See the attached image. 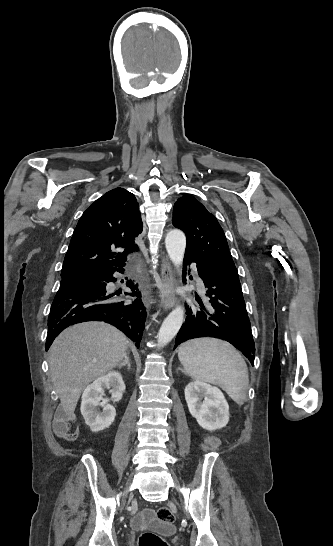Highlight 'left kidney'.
Returning <instances> with one entry per match:
<instances>
[{
	"label": "left kidney",
	"mask_w": 333,
	"mask_h": 546,
	"mask_svg": "<svg viewBox=\"0 0 333 546\" xmlns=\"http://www.w3.org/2000/svg\"><path fill=\"white\" fill-rule=\"evenodd\" d=\"M185 399L191 415L202 428L215 431L227 425L229 406L219 388L191 382L185 388Z\"/></svg>",
	"instance_id": "obj_1"
}]
</instances>
